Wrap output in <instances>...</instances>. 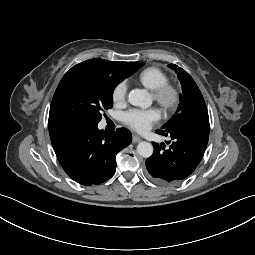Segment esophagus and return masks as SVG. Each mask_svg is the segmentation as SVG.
I'll list each match as a JSON object with an SVG mask.
<instances>
[{"instance_id":"1","label":"esophagus","mask_w":255,"mask_h":255,"mask_svg":"<svg viewBox=\"0 0 255 255\" xmlns=\"http://www.w3.org/2000/svg\"><path fill=\"white\" fill-rule=\"evenodd\" d=\"M140 141H141V138H140L139 136L133 135V137H132V142H133V143H138V142H140Z\"/></svg>"}]
</instances>
